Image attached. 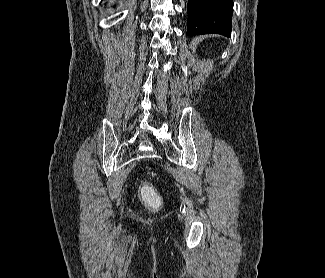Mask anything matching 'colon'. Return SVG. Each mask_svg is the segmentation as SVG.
I'll return each mask as SVG.
<instances>
[{"label":"colon","instance_id":"colon-1","mask_svg":"<svg viewBox=\"0 0 325 278\" xmlns=\"http://www.w3.org/2000/svg\"><path fill=\"white\" fill-rule=\"evenodd\" d=\"M141 196L145 203L152 207H156L160 203L159 194L149 183H143L141 185Z\"/></svg>","mask_w":325,"mask_h":278}]
</instances>
